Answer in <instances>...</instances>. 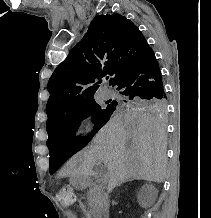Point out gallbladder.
I'll use <instances>...</instances> for the list:
<instances>
[{
	"instance_id": "bac80fb5",
	"label": "gallbladder",
	"mask_w": 211,
	"mask_h": 218,
	"mask_svg": "<svg viewBox=\"0 0 211 218\" xmlns=\"http://www.w3.org/2000/svg\"><path fill=\"white\" fill-rule=\"evenodd\" d=\"M93 170H94V171H103V170H104V167H103V166H94V167H93Z\"/></svg>"
}]
</instances>
